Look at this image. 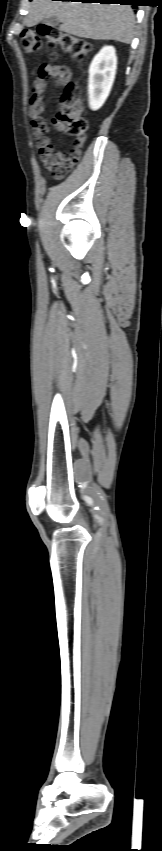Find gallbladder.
I'll use <instances>...</instances> for the list:
<instances>
[{
  "label": "gallbladder",
  "instance_id": "1",
  "mask_svg": "<svg viewBox=\"0 0 162 851\" xmlns=\"http://www.w3.org/2000/svg\"><path fill=\"white\" fill-rule=\"evenodd\" d=\"M43 23L46 24V25H49V26H57L60 23V21L57 17L53 16V17L44 19Z\"/></svg>",
  "mask_w": 162,
  "mask_h": 851
}]
</instances>
